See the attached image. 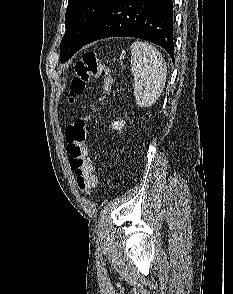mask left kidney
<instances>
[{"mask_svg":"<svg viewBox=\"0 0 233 294\" xmlns=\"http://www.w3.org/2000/svg\"><path fill=\"white\" fill-rule=\"evenodd\" d=\"M125 125V121L118 120L112 123V129L120 131Z\"/></svg>","mask_w":233,"mask_h":294,"instance_id":"left-kidney-1","label":"left kidney"}]
</instances>
